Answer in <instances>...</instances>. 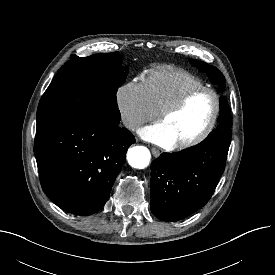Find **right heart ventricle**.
I'll return each mask as SVG.
<instances>
[{"label": "right heart ventricle", "instance_id": "obj_1", "mask_svg": "<svg viewBox=\"0 0 275 275\" xmlns=\"http://www.w3.org/2000/svg\"><path fill=\"white\" fill-rule=\"evenodd\" d=\"M143 85L156 112H160L188 90L205 86L196 75L173 67L150 70Z\"/></svg>", "mask_w": 275, "mask_h": 275}]
</instances>
